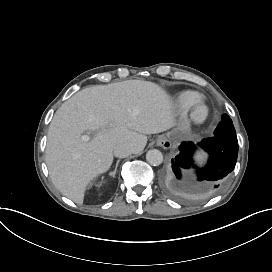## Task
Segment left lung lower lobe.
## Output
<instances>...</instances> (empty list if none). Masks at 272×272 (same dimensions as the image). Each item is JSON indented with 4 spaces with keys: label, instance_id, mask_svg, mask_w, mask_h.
Instances as JSON below:
<instances>
[{
    "label": "left lung lower lobe",
    "instance_id": "left-lung-lower-lobe-1",
    "mask_svg": "<svg viewBox=\"0 0 272 272\" xmlns=\"http://www.w3.org/2000/svg\"><path fill=\"white\" fill-rule=\"evenodd\" d=\"M209 153V160L205 167L197 168L199 181L203 183L197 186H184L176 182L171 171L168 172L167 181L174 187L180 188L192 194H209L221 189L225 184V177L234 169L237 156V142L228 141L218 137L205 138L198 144ZM196 150L193 143H183L180 153L172 159V170L177 179L181 178V169L195 167L192 156Z\"/></svg>",
    "mask_w": 272,
    "mask_h": 272
}]
</instances>
